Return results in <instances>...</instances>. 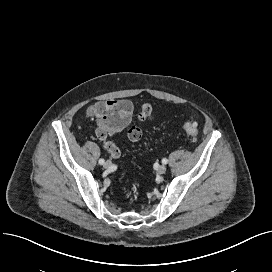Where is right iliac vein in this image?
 <instances>
[{"label":"right iliac vein","mask_w":272,"mask_h":272,"mask_svg":"<svg viewBox=\"0 0 272 272\" xmlns=\"http://www.w3.org/2000/svg\"><path fill=\"white\" fill-rule=\"evenodd\" d=\"M111 164L112 163L110 161H106L103 166H104V168L107 169V168H110Z\"/></svg>","instance_id":"right-iliac-vein-1"}]
</instances>
